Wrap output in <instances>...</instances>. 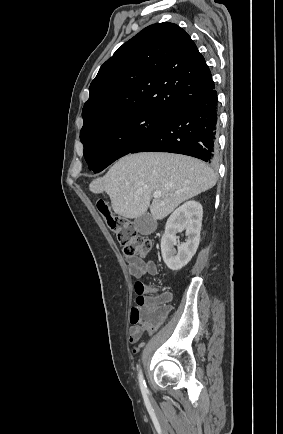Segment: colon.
I'll list each match as a JSON object with an SVG mask.
<instances>
[{
	"instance_id": "obj_1",
	"label": "colon",
	"mask_w": 283,
	"mask_h": 434,
	"mask_svg": "<svg viewBox=\"0 0 283 434\" xmlns=\"http://www.w3.org/2000/svg\"><path fill=\"white\" fill-rule=\"evenodd\" d=\"M97 209L107 226L116 234L126 256H144L151 248V241L140 235L132 224L124 217L115 215L104 201L97 203ZM148 288L142 283H136L138 294L137 306L131 309L130 323L141 325L144 330L152 332L160 324L167 312L166 306H161L155 300L147 299L144 294Z\"/></svg>"
}]
</instances>
